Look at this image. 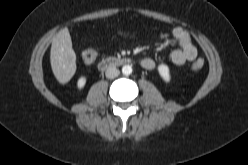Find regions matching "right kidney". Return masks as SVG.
<instances>
[{"instance_id": "right-kidney-1", "label": "right kidney", "mask_w": 248, "mask_h": 165, "mask_svg": "<svg viewBox=\"0 0 248 165\" xmlns=\"http://www.w3.org/2000/svg\"><path fill=\"white\" fill-rule=\"evenodd\" d=\"M86 84V78L85 77H80L77 81V87L79 89H82Z\"/></svg>"}]
</instances>
